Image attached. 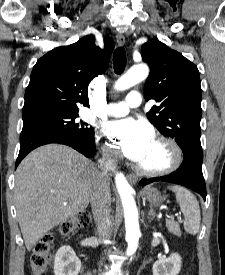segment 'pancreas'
<instances>
[{
  "instance_id": "obj_1",
  "label": "pancreas",
  "mask_w": 225,
  "mask_h": 275,
  "mask_svg": "<svg viewBox=\"0 0 225 275\" xmlns=\"http://www.w3.org/2000/svg\"><path fill=\"white\" fill-rule=\"evenodd\" d=\"M167 229L176 236H181V230L179 224L173 220L166 221Z\"/></svg>"
}]
</instances>
